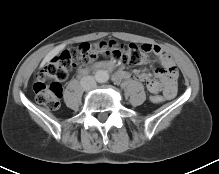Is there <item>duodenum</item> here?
<instances>
[{
  "label": "duodenum",
  "mask_w": 219,
  "mask_h": 174,
  "mask_svg": "<svg viewBox=\"0 0 219 174\" xmlns=\"http://www.w3.org/2000/svg\"><path fill=\"white\" fill-rule=\"evenodd\" d=\"M109 67H110V65L104 64V63L95 64V65L93 66L94 69H107V68H109ZM80 73H81V74H86V73H87V69L81 68V69H80Z\"/></svg>",
  "instance_id": "duodenum-1"
}]
</instances>
